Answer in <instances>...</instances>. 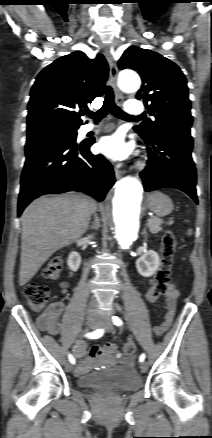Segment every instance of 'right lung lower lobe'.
<instances>
[{
  "instance_id": "98d812e1",
  "label": "right lung lower lobe",
  "mask_w": 212,
  "mask_h": 438,
  "mask_svg": "<svg viewBox=\"0 0 212 438\" xmlns=\"http://www.w3.org/2000/svg\"><path fill=\"white\" fill-rule=\"evenodd\" d=\"M94 140L76 143L61 129L27 136L18 215L34 199L49 193L85 192L102 201L115 183L112 165L89 149Z\"/></svg>"
}]
</instances>
